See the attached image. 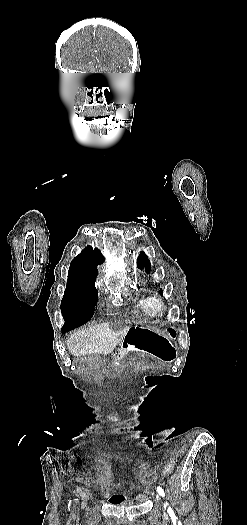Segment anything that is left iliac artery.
Wrapping results in <instances>:
<instances>
[{
  "label": "left iliac artery",
  "mask_w": 247,
  "mask_h": 525,
  "mask_svg": "<svg viewBox=\"0 0 247 525\" xmlns=\"http://www.w3.org/2000/svg\"><path fill=\"white\" fill-rule=\"evenodd\" d=\"M157 492H158L162 497L165 496L164 490H163L160 486L157 487ZM166 505L168 506V510L171 511L172 509L170 508V506L168 505V503H166Z\"/></svg>",
  "instance_id": "obj_1"
}]
</instances>
